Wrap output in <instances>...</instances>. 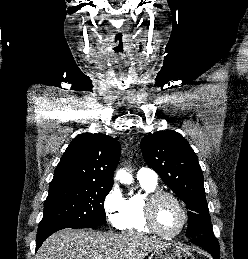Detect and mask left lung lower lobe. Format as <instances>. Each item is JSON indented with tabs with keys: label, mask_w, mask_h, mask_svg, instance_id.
<instances>
[{
	"label": "left lung lower lobe",
	"mask_w": 248,
	"mask_h": 259,
	"mask_svg": "<svg viewBox=\"0 0 248 259\" xmlns=\"http://www.w3.org/2000/svg\"><path fill=\"white\" fill-rule=\"evenodd\" d=\"M191 242L204 248L214 259H219V244L213 235L199 236L198 238L192 239Z\"/></svg>",
	"instance_id": "0a47b994"
}]
</instances>
